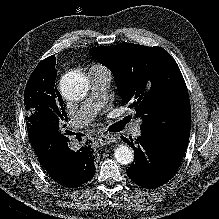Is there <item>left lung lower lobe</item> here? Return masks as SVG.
<instances>
[{
	"instance_id": "0a47b994",
	"label": "left lung lower lobe",
	"mask_w": 219,
	"mask_h": 219,
	"mask_svg": "<svg viewBox=\"0 0 219 219\" xmlns=\"http://www.w3.org/2000/svg\"><path fill=\"white\" fill-rule=\"evenodd\" d=\"M123 140L131 145L135 152V161L127 169V175L133 182L148 189L165 184L175 175L189 141L144 131L135 143L132 138Z\"/></svg>"
}]
</instances>
